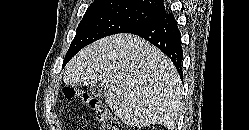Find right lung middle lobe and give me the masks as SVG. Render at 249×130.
<instances>
[{"mask_svg":"<svg viewBox=\"0 0 249 130\" xmlns=\"http://www.w3.org/2000/svg\"><path fill=\"white\" fill-rule=\"evenodd\" d=\"M160 15L135 6L105 3L90 5L80 22L63 66L83 47L103 37L125 33Z\"/></svg>","mask_w":249,"mask_h":130,"instance_id":"right-lung-middle-lobe-1","label":"right lung middle lobe"}]
</instances>
